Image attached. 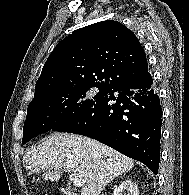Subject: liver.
I'll list each match as a JSON object with an SVG mask.
<instances>
[{
	"label": "liver",
	"mask_w": 189,
	"mask_h": 195,
	"mask_svg": "<svg viewBox=\"0 0 189 195\" xmlns=\"http://www.w3.org/2000/svg\"><path fill=\"white\" fill-rule=\"evenodd\" d=\"M23 166L40 172L44 180L61 178L62 172L85 180L81 195H99L115 177L130 171L134 161L91 138L54 133L23 156Z\"/></svg>",
	"instance_id": "6515ba94"
}]
</instances>
